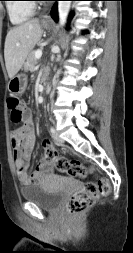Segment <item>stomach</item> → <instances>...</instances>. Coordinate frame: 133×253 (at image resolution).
Wrapping results in <instances>:
<instances>
[{"label": "stomach", "instance_id": "stomach-1", "mask_svg": "<svg viewBox=\"0 0 133 253\" xmlns=\"http://www.w3.org/2000/svg\"><path fill=\"white\" fill-rule=\"evenodd\" d=\"M43 27L49 28L50 24L47 22H43ZM27 86V76L25 74H17L13 78L10 79L8 84V89L13 94H22Z\"/></svg>", "mask_w": 133, "mask_h": 253}]
</instances>
